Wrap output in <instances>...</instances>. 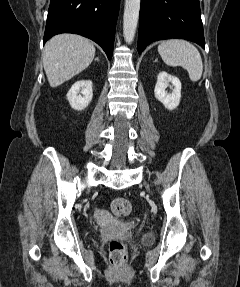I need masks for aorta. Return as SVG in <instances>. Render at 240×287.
Returning a JSON list of instances; mask_svg holds the SVG:
<instances>
[{"label": "aorta", "instance_id": "aorta-1", "mask_svg": "<svg viewBox=\"0 0 240 287\" xmlns=\"http://www.w3.org/2000/svg\"><path fill=\"white\" fill-rule=\"evenodd\" d=\"M141 0H125L123 16V35L126 43L130 44L134 40Z\"/></svg>", "mask_w": 240, "mask_h": 287}]
</instances>
